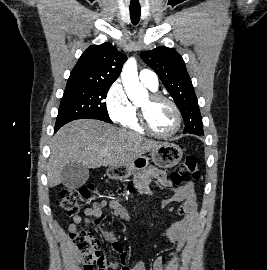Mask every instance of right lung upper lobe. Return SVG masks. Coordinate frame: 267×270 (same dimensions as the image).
<instances>
[{
  "instance_id": "obj_1",
  "label": "right lung upper lobe",
  "mask_w": 267,
  "mask_h": 270,
  "mask_svg": "<svg viewBox=\"0 0 267 270\" xmlns=\"http://www.w3.org/2000/svg\"><path fill=\"white\" fill-rule=\"evenodd\" d=\"M126 60L111 43L92 45L79 58L68 83L113 84Z\"/></svg>"
}]
</instances>
